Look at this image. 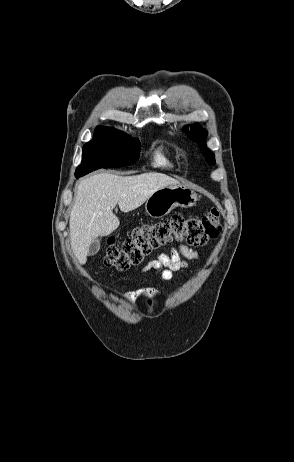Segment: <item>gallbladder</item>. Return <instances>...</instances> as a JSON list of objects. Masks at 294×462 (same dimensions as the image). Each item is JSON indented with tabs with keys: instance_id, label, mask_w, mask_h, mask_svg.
I'll use <instances>...</instances> for the list:
<instances>
[{
	"instance_id": "bac80fb5",
	"label": "gallbladder",
	"mask_w": 294,
	"mask_h": 462,
	"mask_svg": "<svg viewBox=\"0 0 294 462\" xmlns=\"http://www.w3.org/2000/svg\"><path fill=\"white\" fill-rule=\"evenodd\" d=\"M100 250V240L95 239L88 248V256H94Z\"/></svg>"
}]
</instances>
